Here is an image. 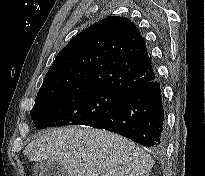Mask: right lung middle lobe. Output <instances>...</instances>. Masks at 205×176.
Here are the masks:
<instances>
[{"label": "right lung middle lobe", "instance_id": "obj_1", "mask_svg": "<svg viewBox=\"0 0 205 176\" xmlns=\"http://www.w3.org/2000/svg\"><path fill=\"white\" fill-rule=\"evenodd\" d=\"M123 94L107 89H84L36 97L31 117L37 129L86 125L103 118Z\"/></svg>", "mask_w": 205, "mask_h": 176}]
</instances>
